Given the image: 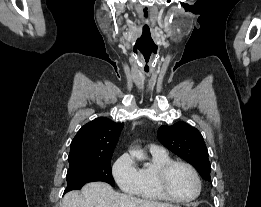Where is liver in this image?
Masks as SVG:
<instances>
[{
  "instance_id": "6515ba94",
  "label": "liver",
  "mask_w": 261,
  "mask_h": 207,
  "mask_svg": "<svg viewBox=\"0 0 261 207\" xmlns=\"http://www.w3.org/2000/svg\"><path fill=\"white\" fill-rule=\"evenodd\" d=\"M168 203L145 200L115 192L104 182H91L86 184L81 195L78 191L67 193L61 207H169Z\"/></svg>"
}]
</instances>
